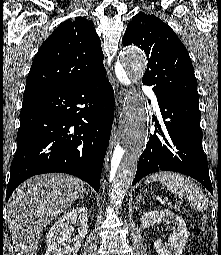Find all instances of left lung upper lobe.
<instances>
[{
	"label": "left lung upper lobe",
	"mask_w": 221,
	"mask_h": 255,
	"mask_svg": "<svg viewBox=\"0 0 221 255\" xmlns=\"http://www.w3.org/2000/svg\"><path fill=\"white\" fill-rule=\"evenodd\" d=\"M142 48L148 65L142 82L156 95L199 107L197 80L189 54L174 31L154 15L136 14L122 39Z\"/></svg>",
	"instance_id": "left-lung-upper-lobe-1"
}]
</instances>
